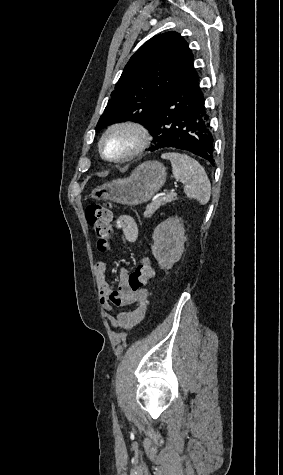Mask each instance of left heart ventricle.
<instances>
[{"label": "left heart ventricle", "mask_w": 283, "mask_h": 475, "mask_svg": "<svg viewBox=\"0 0 283 475\" xmlns=\"http://www.w3.org/2000/svg\"><path fill=\"white\" fill-rule=\"evenodd\" d=\"M136 134L133 131H119L110 135L103 144V150L109 157H117L128 152L135 142Z\"/></svg>", "instance_id": "1"}]
</instances>
